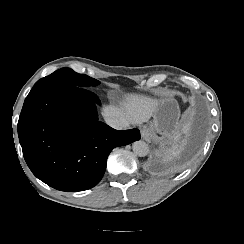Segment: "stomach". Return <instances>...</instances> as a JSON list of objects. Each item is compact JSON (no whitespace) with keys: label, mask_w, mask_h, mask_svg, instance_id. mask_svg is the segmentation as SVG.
I'll return each instance as SVG.
<instances>
[{"label":"stomach","mask_w":244,"mask_h":244,"mask_svg":"<svg viewBox=\"0 0 244 244\" xmlns=\"http://www.w3.org/2000/svg\"><path fill=\"white\" fill-rule=\"evenodd\" d=\"M179 119L180 108L176 99L169 96L158 99L153 121L147 129L155 141L161 142L164 149L173 148L179 142Z\"/></svg>","instance_id":"0dacf381"}]
</instances>
